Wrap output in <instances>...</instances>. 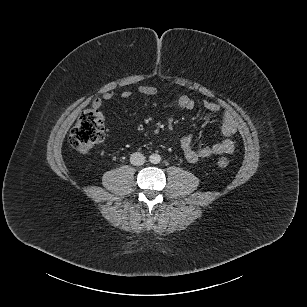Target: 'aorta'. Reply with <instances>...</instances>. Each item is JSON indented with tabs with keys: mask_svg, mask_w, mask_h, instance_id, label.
Returning a JSON list of instances; mask_svg holds the SVG:
<instances>
[{
	"mask_svg": "<svg viewBox=\"0 0 307 307\" xmlns=\"http://www.w3.org/2000/svg\"><path fill=\"white\" fill-rule=\"evenodd\" d=\"M149 161L152 164H158L161 162V156L159 154L153 153L149 156Z\"/></svg>",
	"mask_w": 307,
	"mask_h": 307,
	"instance_id": "aorta-1",
	"label": "aorta"
}]
</instances>
